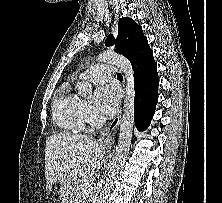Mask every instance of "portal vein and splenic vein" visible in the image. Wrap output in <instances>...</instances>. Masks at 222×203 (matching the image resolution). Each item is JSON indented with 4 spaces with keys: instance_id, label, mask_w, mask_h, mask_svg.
<instances>
[{
    "instance_id": "obj_1",
    "label": "portal vein and splenic vein",
    "mask_w": 222,
    "mask_h": 203,
    "mask_svg": "<svg viewBox=\"0 0 222 203\" xmlns=\"http://www.w3.org/2000/svg\"><path fill=\"white\" fill-rule=\"evenodd\" d=\"M83 187L85 192H90L93 188L91 181H85Z\"/></svg>"
}]
</instances>
